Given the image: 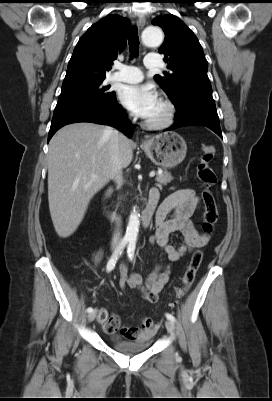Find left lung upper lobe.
I'll list each match as a JSON object with an SVG mask.
<instances>
[{"label":"left lung upper lobe","instance_id":"left-lung-upper-lobe-1","mask_svg":"<svg viewBox=\"0 0 272 401\" xmlns=\"http://www.w3.org/2000/svg\"><path fill=\"white\" fill-rule=\"evenodd\" d=\"M152 24L159 25L165 33L159 53L164 54L170 70L154 78L175 107L189 98L213 99L208 63L192 30L172 14L158 16Z\"/></svg>","mask_w":272,"mask_h":401}]
</instances>
